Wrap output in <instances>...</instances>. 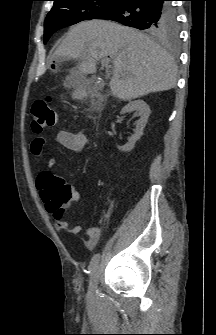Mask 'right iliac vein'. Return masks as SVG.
Instances as JSON below:
<instances>
[{"mask_svg":"<svg viewBox=\"0 0 216 335\" xmlns=\"http://www.w3.org/2000/svg\"><path fill=\"white\" fill-rule=\"evenodd\" d=\"M97 282H98V268L96 267L93 271L92 282L89 288V294H91L95 290Z\"/></svg>","mask_w":216,"mask_h":335,"instance_id":"right-iliac-vein-1","label":"right iliac vein"}]
</instances>
